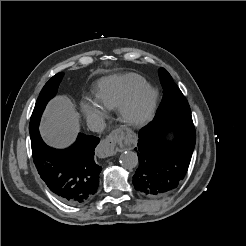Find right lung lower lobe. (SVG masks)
Returning <instances> with one entry per match:
<instances>
[{
  "mask_svg": "<svg viewBox=\"0 0 246 246\" xmlns=\"http://www.w3.org/2000/svg\"><path fill=\"white\" fill-rule=\"evenodd\" d=\"M30 138L38 173L61 201L77 205L92 197L102 169L94 161L99 138L80 133L76 142L63 150L47 146L38 128L30 131Z\"/></svg>",
  "mask_w": 246,
  "mask_h": 246,
  "instance_id": "1",
  "label": "right lung lower lobe"
}]
</instances>
